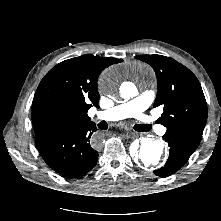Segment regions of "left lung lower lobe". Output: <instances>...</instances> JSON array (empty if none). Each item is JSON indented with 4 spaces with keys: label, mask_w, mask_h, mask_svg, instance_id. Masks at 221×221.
I'll return each instance as SVG.
<instances>
[{
    "label": "left lung lower lobe",
    "mask_w": 221,
    "mask_h": 221,
    "mask_svg": "<svg viewBox=\"0 0 221 221\" xmlns=\"http://www.w3.org/2000/svg\"><path fill=\"white\" fill-rule=\"evenodd\" d=\"M163 139L168 142L169 158L166 164L154 170V174L160 177H168L178 171L196 150L199 143L174 134H165Z\"/></svg>",
    "instance_id": "1"
}]
</instances>
